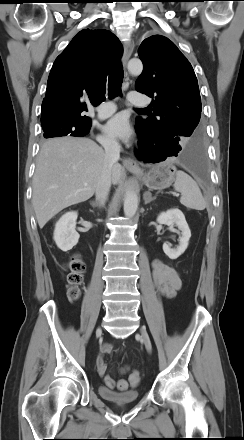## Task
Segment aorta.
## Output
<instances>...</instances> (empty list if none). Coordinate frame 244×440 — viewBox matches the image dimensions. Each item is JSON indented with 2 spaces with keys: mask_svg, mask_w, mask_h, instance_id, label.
Wrapping results in <instances>:
<instances>
[{
  "mask_svg": "<svg viewBox=\"0 0 244 440\" xmlns=\"http://www.w3.org/2000/svg\"><path fill=\"white\" fill-rule=\"evenodd\" d=\"M128 71L133 75H140L143 70V64L138 59H132L128 62ZM138 208V196L137 193L132 189L126 191L124 197V214L126 217L132 218Z\"/></svg>",
  "mask_w": 244,
  "mask_h": 440,
  "instance_id": "762f6f07",
  "label": "aorta"
}]
</instances>
